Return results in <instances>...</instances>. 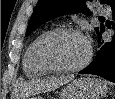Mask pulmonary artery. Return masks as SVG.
<instances>
[{
    "label": "pulmonary artery",
    "mask_w": 115,
    "mask_h": 99,
    "mask_svg": "<svg viewBox=\"0 0 115 99\" xmlns=\"http://www.w3.org/2000/svg\"><path fill=\"white\" fill-rule=\"evenodd\" d=\"M99 11L101 14H106V15H109L111 13V10L107 7H102L99 9Z\"/></svg>",
    "instance_id": "pulmonary-artery-1"
}]
</instances>
